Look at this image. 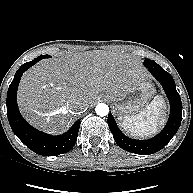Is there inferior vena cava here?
Listing matches in <instances>:
<instances>
[{"label": "inferior vena cava", "mask_w": 193, "mask_h": 193, "mask_svg": "<svg viewBox=\"0 0 193 193\" xmlns=\"http://www.w3.org/2000/svg\"><path fill=\"white\" fill-rule=\"evenodd\" d=\"M87 106V104L85 102H83L82 100H73L70 103V109H74V110H82Z\"/></svg>", "instance_id": "602c4592"}]
</instances>
